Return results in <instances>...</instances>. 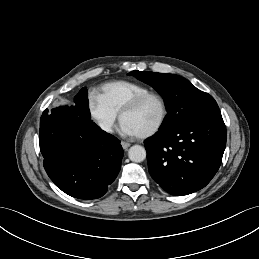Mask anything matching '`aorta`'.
<instances>
[{
  "label": "aorta",
  "instance_id": "obj_1",
  "mask_svg": "<svg viewBox=\"0 0 259 259\" xmlns=\"http://www.w3.org/2000/svg\"><path fill=\"white\" fill-rule=\"evenodd\" d=\"M128 157L133 162H142L146 158V150L140 145H134L129 149Z\"/></svg>",
  "mask_w": 259,
  "mask_h": 259
}]
</instances>
